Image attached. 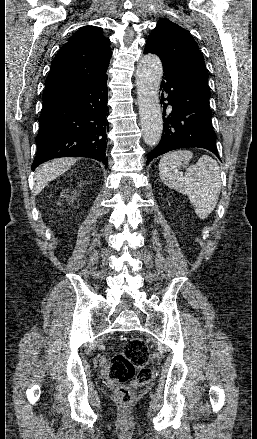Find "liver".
I'll use <instances>...</instances> for the list:
<instances>
[{"label": "liver", "mask_w": 257, "mask_h": 439, "mask_svg": "<svg viewBox=\"0 0 257 439\" xmlns=\"http://www.w3.org/2000/svg\"><path fill=\"white\" fill-rule=\"evenodd\" d=\"M75 162L72 158H58L38 167L35 171V194H39L49 182L66 172Z\"/></svg>", "instance_id": "liver-1"}]
</instances>
